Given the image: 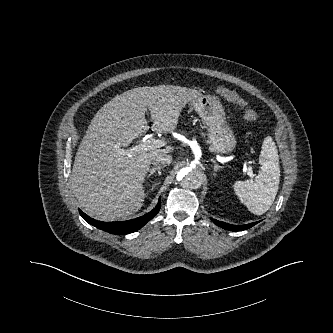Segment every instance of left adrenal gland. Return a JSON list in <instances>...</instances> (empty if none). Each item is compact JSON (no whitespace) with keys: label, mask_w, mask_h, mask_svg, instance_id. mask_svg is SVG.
I'll use <instances>...</instances> for the list:
<instances>
[{"label":"left adrenal gland","mask_w":333,"mask_h":333,"mask_svg":"<svg viewBox=\"0 0 333 333\" xmlns=\"http://www.w3.org/2000/svg\"><path fill=\"white\" fill-rule=\"evenodd\" d=\"M212 162H213V164H214V173H213V175L215 176V175H216V172H217L218 170H221L222 167L219 166V165L216 163L215 160H212Z\"/></svg>","instance_id":"a2214340"}]
</instances>
